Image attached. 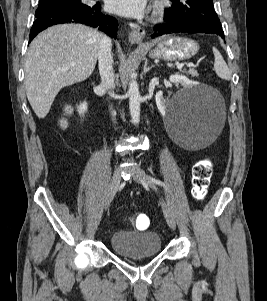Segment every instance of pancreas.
<instances>
[{
    "mask_svg": "<svg viewBox=\"0 0 267 301\" xmlns=\"http://www.w3.org/2000/svg\"><path fill=\"white\" fill-rule=\"evenodd\" d=\"M188 75H191L192 77H198V73L194 69H190L186 72Z\"/></svg>",
    "mask_w": 267,
    "mask_h": 301,
    "instance_id": "pancreas-1",
    "label": "pancreas"
}]
</instances>
